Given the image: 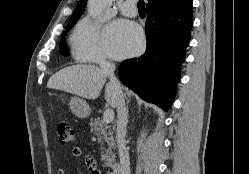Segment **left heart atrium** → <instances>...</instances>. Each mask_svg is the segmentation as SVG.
<instances>
[{"mask_svg": "<svg viewBox=\"0 0 249 174\" xmlns=\"http://www.w3.org/2000/svg\"><path fill=\"white\" fill-rule=\"evenodd\" d=\"M105 45L109 55L114 59L135 55L143 46L142 30L133 22L116 20L106 30Z\"/></svg>", "mask_w": 249, "mask_h": 174, "instance_id": "1", "label": "left heart atrium"}]
</instances>
